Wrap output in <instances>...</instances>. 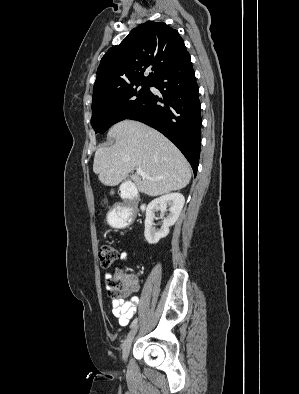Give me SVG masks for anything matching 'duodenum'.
Segmentation results:
<instances>
[{
	"label": "duodenum",
	"instance_id": "410a0bca",
	"mask_svg": "<svg viewBox=\"0 0 299 394\" xmlns=\"http://www.w3.org/2000/svg\"><path fill=\"white\" fill-rule=\"evenodd\" d=\"M121 197L123 198L124 202L119 213V219L123 222H128L134 219L137 196L130 187H124L121 189ZM144 207V204L140 205V209H144Z\"/></svg>",
	"mask_w": 299,
	"mask_h": 394
}]
</instances>
